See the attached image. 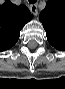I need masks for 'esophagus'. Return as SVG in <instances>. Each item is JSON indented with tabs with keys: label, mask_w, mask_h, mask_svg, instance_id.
<instances>
[{
	"label": "esophagus",
	"mask_w": 65,
	"mask_h": 89,
	"mask_svg": "<svg viewBox=\"0 0 65 89\" xmlns=\"http://www.w3.org/2000/svg\"><path fill=\"white\" fill-rule=\"evenodd\" d=\"M30 11L33 15H37L38 14V9H37V4H31L30 5Z\"/></svg>",
	"instance_id": "34e87169"
}]
</instances>
